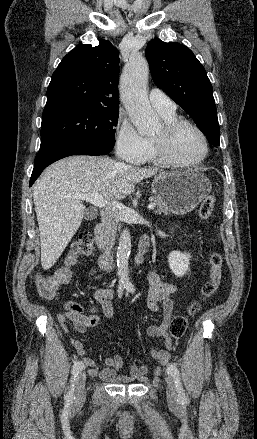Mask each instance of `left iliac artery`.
Listing matches in <instances>:
<instances>
[{"label":"left iliac artery","instance_id":"44dca946","mask_svg":"<svg viewBox=\"0 0 257 439\" xmlns=\"http://www.w3.org/2000/svg\"><path fill=\"white\" fill-rule=\"evenodd\" d=\"M127 290L130 292H134V286L131 283H128L126 286ZM168 373L175 379V384L178 391V397L179 400L184 402L187 400V397L185 395V392L183 390L181 381H180V373L178 368L174 364H169L168 366Z\"/></svg>","mask_w":257,"mask_h":439}]
</instances>
